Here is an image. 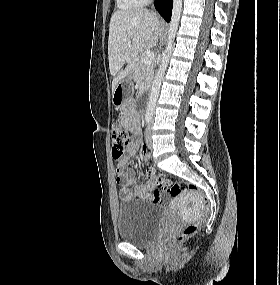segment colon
Wrapping results in <instances>:
<instances>
[{"instance_id":"colon-1","label":"colon","mask_w":280,"mask_h":285,"mask_svg":"<svg viewBox=\"0 0 280 285\" xmlns=\"http://www.w3.org/2000/svg\"><path fill=\"white\" fill-rule=\"evenodd\" d=\"M111 138L113 142V155L116 158L122 156L125 147L130 143L128 132L119 124L115 123L111 127ZM146 148H144V152ZM148 176L153 180L155 186L166 191L172 197H176L185 192H191L199 198L204 210L208 209L209 202L207 197L199 190V188L186 182L171 183L164 176L157 175L154 170H147ZM198 223H189L172 238V243H178L193 235L198 229Z\"/></svg>"}]
</instances>
